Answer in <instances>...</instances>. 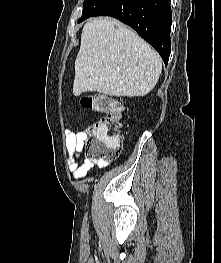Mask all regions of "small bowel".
<instances>
[{
  "label": "small bowel",
  "mask_w": 221,
  "mask_h": 263,
  "mask_svg": "<svg viewBox=\"0 0 221 263\" xmlns=\"http://www.w3.org/2000/svg\"><path fill=\"white\" fill-rule=\"evenodd\" d=\"M85 140L86 133L83 131L77 133L68 132L66 135V147L69 153L73 156V159L70 162V170L73 177L76 179L85 177L95 164L100 168H105L112 163L110 160L92 161L85 159L81 164H79L78 160L82 158V150Z\"/></svg>",
  "instance_id": "obj_1"
}]
</instances>
